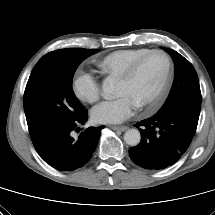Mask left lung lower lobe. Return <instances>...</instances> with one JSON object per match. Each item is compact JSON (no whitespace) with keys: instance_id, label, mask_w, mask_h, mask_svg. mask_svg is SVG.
Masks as SVG:
<instances>
[{"instance_id":"0a47b994","label":"left lung lower lobe","mask_w":215,"mask_h":215,"mask_svg":"<svg viewBox=\"0 0 215 215\" xmlns=\"http://www.w3.org/2000/svg\"><path fill=\"white\" fill-rule=\"evenodd\" d=\"M198 118L181 110L157 112L135 124L140 144L129 149L132 161L145 169L159 170L176 163L189 147Z\"/></svg>"}]
</instances>
